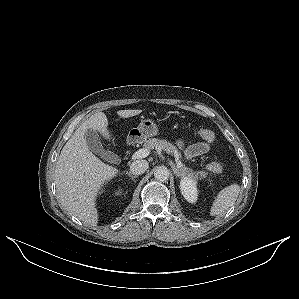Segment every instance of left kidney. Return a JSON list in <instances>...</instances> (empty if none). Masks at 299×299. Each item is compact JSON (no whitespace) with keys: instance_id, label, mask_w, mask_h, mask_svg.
Returning <instances> with one entry per match:
<instances>
[{"instance_id":"1","label":"left kidney","mask_w":299,"mask_h":299,"mask_svg":"<svg viewBox=\"0 0 299 299\" xmlns=\"http://www.w3.org/2000/svg\"><path fill=\"white\" fill-rule=\"evenodd\" d=\"M180 189L183 197L189 203H195L197 201V182L194 179L189 177H182V179L180 180Z\"/></svg>"}]
</instances>
